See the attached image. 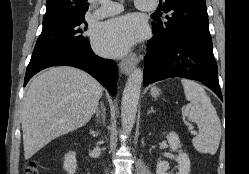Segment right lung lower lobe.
Wrapping results in <instances>:
<instances>
[{"instance_id":"98d812e1","label":"right lung lower lobe","mask_w":249,"mask_h":174,"mask_svg":"<svg viewBox=\"0 0 249 174\" xmlns=\"http://www.w3.org/2000/svg\"><path fill=\"white\" fill-rule=\"evenodd\" d=\"M54 65H67L82 69L97 79L111 95L116 94L118 80L116 63L95 55L90 44L53 47L33 52L26 70L24 86L37 72Z\"/></svg>"}]
</instances>
